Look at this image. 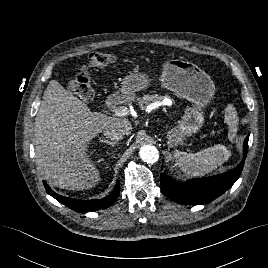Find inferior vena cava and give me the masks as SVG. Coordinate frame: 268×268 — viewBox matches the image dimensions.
Segmentation results:
<instances>
[{"instance_id":"obj_1","label":"inferior vena cava","mask_w":268,"mask_h":268,"mask_svg":"<svg viewBox=\"0 0 268 268\" xmlns=\"http://www.w3.org/2000/svg\"><path fill=\"white\" fill-rule=\"evenodd\" d=\"M103 133L110 140H120L123 139L126 130L121 125H110L104 129Z\"/></svg>"}]
</instances>
